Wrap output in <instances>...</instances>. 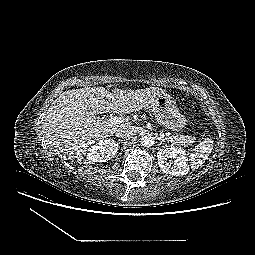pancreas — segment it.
<instances>
[{
    "label": "pancreas",
    "mask_w": 255,
    "mask_h": 255,
    "mask_svg": "<svg viewBox=\"0 0 255 255\" xmlns=\"http://www.w3.org/2000/svg\"><path fill=\"white\" fill-rule=\"evenodd\" d=\"M166 140L170 141L174 144L184 145V146H191L195 142V138L189 135H181V134H173V135H166Z\"/></svg>",
    "instance_id": "pancreas-1"
}]
</instances>
